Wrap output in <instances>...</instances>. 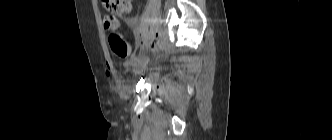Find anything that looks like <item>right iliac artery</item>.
I'll return each mask as SVG.
<instances>
[{"label": "right iliac artery", "instance_id": "obj_1", "mask_svg": "<svg viewBox=\"0 0 332 140\" xmlns=\"http://www.w3.org/2000/svg\"><path fill=\"white\" fill-rule=\"evenodd\" d=\"M137 61V56H133L130 60L129 63L130 65H134V63Z\"/></svg>", "mask_w": 332, "mask_h": 140}]
</instances>
